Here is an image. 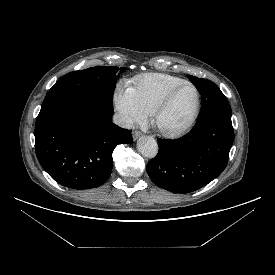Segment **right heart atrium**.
<instances>
[{
  "instance_id": "1",
  "label": "right heart atrium",
  "mask_w": 275,
  "mask_h": 275,
  "mask_svg": "<svg viewBox=\"0 0 275 275\" xmlns=\"http://www.w3.org/2000/svg\"><path fill=\"white\" fill-rule=\"evenodd\" d=\"M114 103L122 123L131 126L147 117L140 104L135 89L129 85H118L114 93Z\"/></svg>"
}]
</instances>
